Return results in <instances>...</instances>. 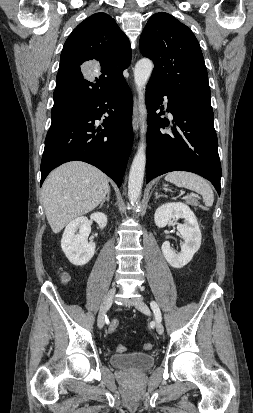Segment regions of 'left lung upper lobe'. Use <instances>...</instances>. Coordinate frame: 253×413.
<instances>
[{"mask_svg": "<svg viewBox=\"0 0 253 413\" xmlns=\"http://www.w3.org/2000/svg\"><path fill=\"white\" fill-rule=\"evenodd\" d=\"M140 51L154 62L150 80L172 98L213 115L204 58L186 25L164 12L152 15L141 34Z\"/></svg>", "mask_w": 253, "mask_h": 413, "instance_id": "obj_1", "label": "left lung upper lobe"}]
</instances>
